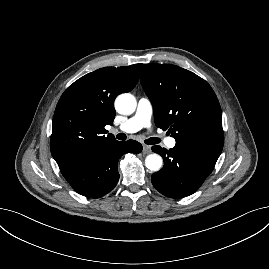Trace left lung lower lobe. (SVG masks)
<instances>
[{"instance_id":"0a47b994","label":"left lung lower lobe","mask_w":269,"mask_h":269,"mask_svg":"<svg viewBox=\"0 0 269 269\" xmlns=\"http://www.w3.org/2000/svg\"><path fill=\"white\" fill-rule=\"evenodd\" d=\"M222 149L223 146L197 142H177L170 150L153 146L152 151L164 160L163 168L152 174L153 186L170 198L193 194L214 169Z\"/></svg>"}]
</instances>
